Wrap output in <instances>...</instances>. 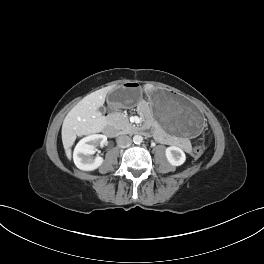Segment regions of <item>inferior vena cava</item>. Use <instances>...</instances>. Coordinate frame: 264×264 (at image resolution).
<instances>
[{
  "mask_svg": "<svg viewBox=\"0 0 264 264\" xmlns=\"http://www.w3.org/2000/svg\"><path fill=\"white\" fill-rule=\"evenodd\" d=\"M132 143V140L127 135H122L117 138V145L121 148L129 147Z\"/></svg>",
  "mask_w": 264,
  "mask_h": 264,
  "instance_id": "1",
  "label": "inferior vena cava"
}]
</instances>
